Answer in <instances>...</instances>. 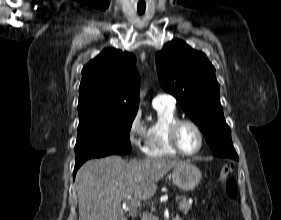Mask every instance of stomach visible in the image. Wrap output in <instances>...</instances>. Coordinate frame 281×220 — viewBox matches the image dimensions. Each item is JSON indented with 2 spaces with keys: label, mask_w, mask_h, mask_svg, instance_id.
I'll use <instances>...</instances> for the list:
<instances>
[{
  "label": "stomach",
  "mask_w": 281,
  "mask_h": 220,
  "mask_svg": "<svg viewBox=\"0 0 281 220\" xmlns=\"http://www.w3.org/2000/svg\"><path fill=\"white\" fill-rule=\"evenodd\" d=\"M201 177L200 170L190 163L177 166L172 171L173 183L186 191L195 189L200 183Z\"/></svg>",
  "instance_id": "0dacf381"
}]
</instances>
